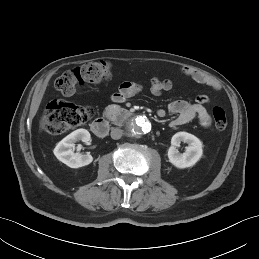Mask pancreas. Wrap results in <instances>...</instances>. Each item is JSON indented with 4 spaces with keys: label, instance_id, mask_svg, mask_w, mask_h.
I'll return each instance as SVG.
<instances>
[{
    "label": "pancreas",
    "instance_id": "obj_1",
    "mask_svg": "<svg viewBox=\"0 0 259 259\" xmlns=\"http://www.w3.org/2000/svg\"><path fill=\"white\" fill-rule=\"evenodd\" d=\"M123 111L120 107L116 105L108 106L104 112V115H106L111 120H116V116L120 114ZM127 114V112L125 111Z\"/></svg>",
    "mask_w": 259,
    "mask_h": 259
}]
</instances>
